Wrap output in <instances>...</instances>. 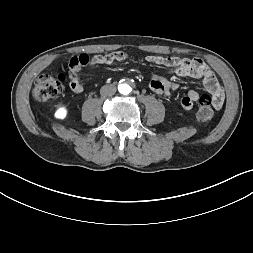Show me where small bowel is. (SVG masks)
Instances as JSON below:
<instances>
[{
    "label": "small bowel",
    "instance_id": "1",
    "mask_svg": "<svg viewBox=\"0 0 253 253\" xmlns=\"http://www.w3.org/2000/svg\"><path fill=\"white\" fill-rule=\"evenodd\" d=\"M107 56L111 58L110 61L105 60ZM96 57H100L102 59V61L97 64H111L114 61H124L127 58V55L124 52L117 51L104 56L98 55L94 58ZM78 59H80L81 62L85 61L84 65L89 62V57L87 55H80L78 57L76 55H73L71 57V60L73 62H76ZM145 61L148 63L167 67L181 77H193L202 79L205 88L209 93L212 94L213 107L215 109L222 108L224 104V92L222 86L214 76L211 69L201 59H180L176 57L167 58L162 56L149 55L145 58ZM176 88L177 84L175 82L170 81L167 78L166 74H152L150 81V89L155 94L159 96H167ZM198 97L199 94L197 91L189 90L186 96L181 101V108L188 113L195 112V101L198 100Z\"/></svg>",
    "mask_w": 253,
    "mask_h": 253
}]
</instances>
